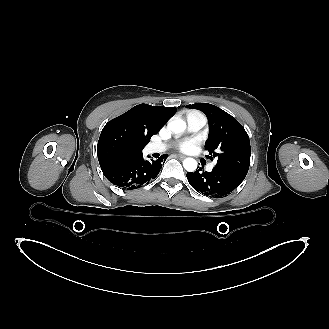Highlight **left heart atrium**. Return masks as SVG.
Returning <instances> with one entry per match:
<instances>
[{
	"label": "left heart atrium",
	"mask_w": 329,
	"mask_h": 329,
	"mask_svg": "<svg viewBox=\"0 0 329 329\" xmlns=\"http://www.w3.org/2000/svg\"><path fill=\"white\" fill-rule=\"evenodd\" d=\"M199 143L200 141L194 138V139L179 142L177 146L181 151L187 152L196 148L199 145Z\"/></svg>",
	"instance_id": "39dd6f15"
}]
</instances>
